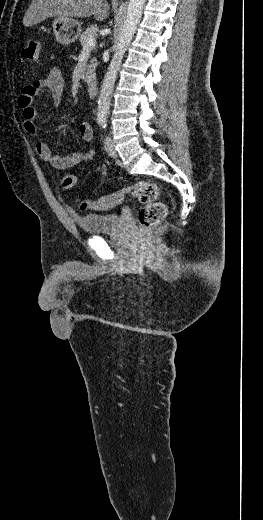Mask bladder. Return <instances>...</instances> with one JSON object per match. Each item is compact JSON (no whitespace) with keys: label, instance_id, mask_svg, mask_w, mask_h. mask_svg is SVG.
Here are the masks:
<instances>
[{"label":"bladder","instance_id":"obj_1","mask_svg":"<svg viewBox=\"0 0 263 520\" xmlns=\"http://www.w3.org/2000/svg\"><path fill=\"white\" fill-rule=\"evenodd\" d=\"M77 227L90 235L118 233L125 228V219L120 214L73 215Z\"/></svg>","mask_w":263,"mask_h":520}]
</instances>
